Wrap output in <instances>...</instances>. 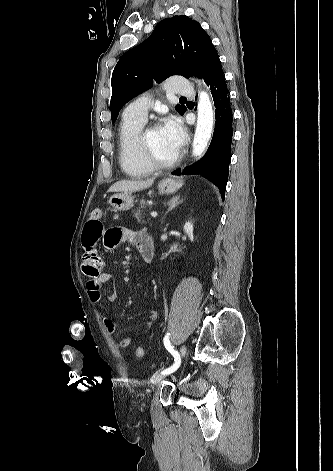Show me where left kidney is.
Here are the masks:
<instances>
[{"mask_svg":"<svg viewBox=\"0 0 333 471\" xmlns=\"http://www.w3.org/2000/svg\"><path fill=\"white\" fill-rule=\"evenodd\" d=\"M184 232L189 236L190 240H194V234H193V223L191 221H188L185 223L184 227Z\"/></svg>","mask_w":333,"mask_h":471,"instance_id":"1","label":"left kidney"}]
</instances>
